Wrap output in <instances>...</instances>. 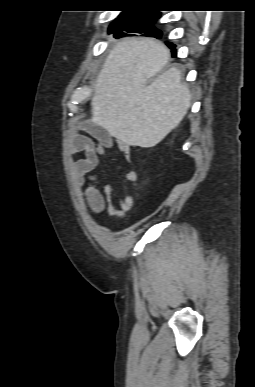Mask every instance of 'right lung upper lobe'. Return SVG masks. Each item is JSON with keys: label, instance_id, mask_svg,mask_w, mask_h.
<instances>
[{"label": "right lung upper lobe", "instance_id": "obj_1", "mask_svg": "<svg viewBox=\"0 0 255 387\" xmlns=\"http://www.w3.org/2000/svg\"><path fill=\"white\" fill-rule=\"evenodd\" d=\"M131 12L147 13V12H157V11H125L124 13H131Z\"/></svg>", "mask_w": 255, "mask_h": 387}]
</instances>
